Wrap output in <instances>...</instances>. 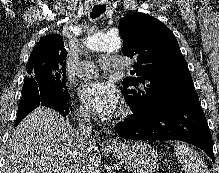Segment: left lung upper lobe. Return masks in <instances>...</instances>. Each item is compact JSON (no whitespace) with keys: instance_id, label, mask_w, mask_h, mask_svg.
<instances>
[{"instance_id":"left-lung-upper-lobe-1","label":"left lung upper lobe","mask_w":219,"mask_h":173,"mask_svg":"<svg viewBox=\"0 0 219 173\" xmlns=\"http://www.w3.org/2000/svg\"><path fill=\"white\" fill-rule=\"evenodd\" d=\"M124 55L135 70L123 80V94L133 112L150 113L168 104L198 99L187 63L173 32L144 13L121 19Z\"/></svg>"}]
</instances>
